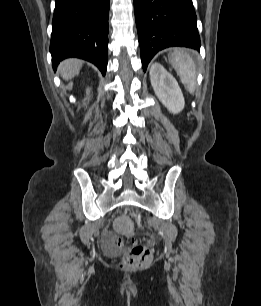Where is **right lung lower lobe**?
Returning a JSON list of instances; mask_svg holds the SVG:
<instances>
[{"label":"right lung lower lobe","mask_w":261,"mask_h":306,"mask_svg":"<svg viewBox=\"0 0 261 306\" xmlns=\"http://www.w3.org/2000/svg\"><path fill=\"white\" fill-rule=\"evenodd\" d=\"M110 0H55L50 52L52 65L68 57L107 68Z\"/></svg>","instance_id":"1"}]
</instances>
